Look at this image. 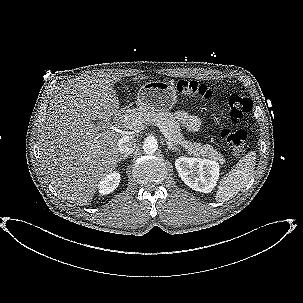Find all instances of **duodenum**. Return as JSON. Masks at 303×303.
<instances>
[{
  "instance_id": "duodenum-1",
  "label": "duodenum",
  "mask_w": 303,
  "mask_h": 303,
  "mask_svg": "<svg viewBox=\"0 0 303 303\" xmlns=\"http://www.w3.org/2000/svg\"><path fill=\"white\" fill-rule=\"evenodd\" d=\"M131 111H132V108L123 109V110L118 111L115 115V120L117 122H122L125 119V117L128 115V113H130Z\"/></svg>"
}]
</instances>
